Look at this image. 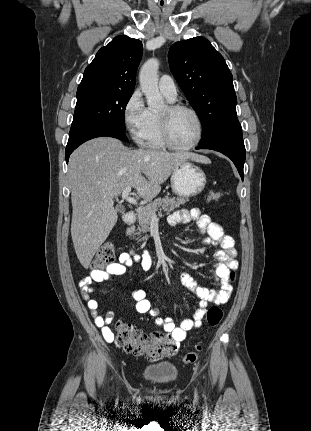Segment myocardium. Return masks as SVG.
<instances>
[{"label": "myocardium", "mask_w": 311, "mask_h": 431, "mask_svg": "<svg viewBox=\"0 0 311 431\" xmlns=\"http://www.w3.org/2000/svg\"><path fill=\"white\" fill-rule=\"evenodd\" d=\"M181 111H188L192 113L197 118L199 122V127H200V131L197 139L193 143L186 146L177 144L172 135L173 118ZM159 121H160V132H161L162 141L168 147H171L176 150H190L197 147L205 135L206 127H205V122L202 115L199 113L198 110H196L195 108L189 105L180 104V103H170L166 107L165 111L160 113Z\"/></svg>", "instance_id": "1"}]
</instances>
